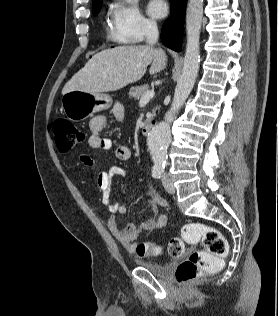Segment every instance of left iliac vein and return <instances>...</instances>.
<instances>
[{
	"label": "left iliac vein",
	"mask_w": 278,
	"mask_h": 316,
	"mask_svg": "<svg viewBox=\"0 0 278 316\" xmlns=\"http://www.w3.org/2000/svg\"><path fill=\"white\" fill-rule=\"evenodd\" d=\"M162 181H163L165 190L170 194H174L175 188L166 175L163 176Z\"/></svg>",
	"instance_id": "obj_1"
}]
</instances>
